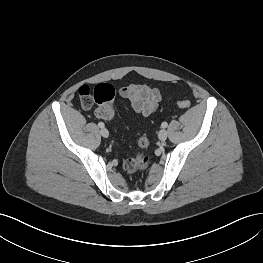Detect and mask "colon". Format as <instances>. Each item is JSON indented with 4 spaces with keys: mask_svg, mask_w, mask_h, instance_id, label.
Here are the masks:
<instances>
[{
    "mask_svg": "<svg viewBox=\"0 0 263 263\" xmlns=\"http://www.w3.org/2000/svg\"><path fill=\"white\" fill-rule=\"evenodd\" d=\"M114 95V88L109 84H99L94 89H91L88 85H82L78 89V98L81 105L89 108L97 104L96 114L98 117L105 120H110L114 116V108L111 105ZM178 105L181 108H188L190 106V101L182 99L178 101ZM148 145L149 140L146 136H141L138 139V146L140 149H146ZM150 160L151 158L148 154L140 152L133 157L127 158L123 162V169L129 174L138 173L147 169Z\"/></svg>",
    "mask_w": 263,
    "mask_h": 263,
    "instance_id": "5ec220e1",
    "label": "colon"
}]
</instances>
